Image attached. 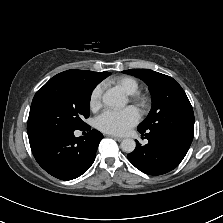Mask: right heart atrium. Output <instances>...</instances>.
Returning a JSON list of instances; mask_svg holds the SVG:
<instances>
[{
    "instance_id": "obj_1",
    "label": "right heart atrium",
    "mask_w": 223,
    "mask_h": 223,
    "mask_svg": "<svg viewBox=\"0 0 223 223\" xmlns=\"http://www.w3.org/2000/svg\"><path fill=\"white\" fill-rule=\"evenodd\" d=\"M103 85L95 86L89 96V106L91 110L96 111L102 104Z\"/></svg>"
}]
</instances>
